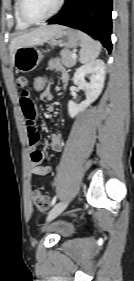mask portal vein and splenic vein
Masks as SVG:
<instances>
[{"label": "portal vein and splenic vein", "instance_id": "portal-vein-and-splenic-vein-1", "mask_svg": "<svg viewBox=\"0 0 134 281\" xmlns=\"http://www.w3.org/2000/svg\"><path fill=\"white\" fill-rule=\"evenodd\" d=\"M72 58H73V59H76V58H77L76 53H72Z\"/></svg>", "mask_w": 134, "mask_h": 281}]
</instances>
